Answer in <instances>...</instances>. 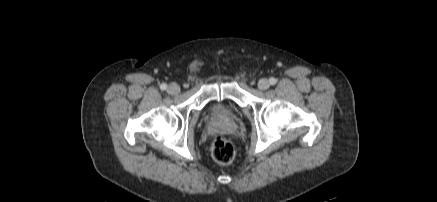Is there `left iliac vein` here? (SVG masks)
I'll return each instance as SVG.
<instances>
[{"instance_id":"4c4485c4","label":"left iliac vein","mask_w":437,"mask_h":202,"mask_svg":"<svg viewBox=\"0 0 437 202\" xmlns=\"http://www.w3.org/2000/svg\"><path fill=\"white\" fill-rule=\"evenodd\" d=\"M269 87H270V83H269V81H268L267 79L263 78V79H260V80H259V82H258V88H259L260 90H266V89H268Z\"/></svg>"}]
</instances>
